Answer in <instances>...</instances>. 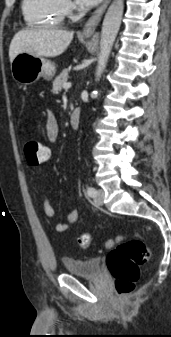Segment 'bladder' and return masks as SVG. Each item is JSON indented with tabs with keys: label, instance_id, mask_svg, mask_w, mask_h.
Here are the masks:
<instances>
[{
	"label": "bladder",
	"instance_id": "31cf9c89",
	"mask_svg": "<svg viewBox=\"0 0 171 337\" xmlns=\"http://www.w3.org/2000/svg\"><path fill=\"white\" fill-rule=\"evenodd\" d=\"M63 265L68 274L80 277L96 278L102 271L101 260L99 258L79 259L65 257Z\"/></svg>",
	"mask_w": 171,
	"mask_h": 337
}]
</instances>
